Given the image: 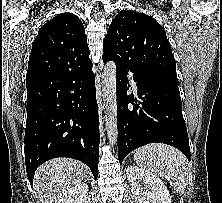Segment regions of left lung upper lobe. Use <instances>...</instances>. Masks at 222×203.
I'll use <instances>...</instances> for the list:
<instances>
[{
    "label": "left lung upper lobe",
    "instance_id": "1",
    "mask_svg": "<svg viewBox=\"0 0 222 203\" xmlns=\"http://www.w3.org/2000/svg\"><path fill=\"white\" fill-rule=\"evenodd\" d=\"M103 56L138 73H160L177 78L176 61L166 32L142 13L122 10L103 41Z\"/></svg>",
    "mask_w": 222,
    "mask_h": 203
}]
</instances>
